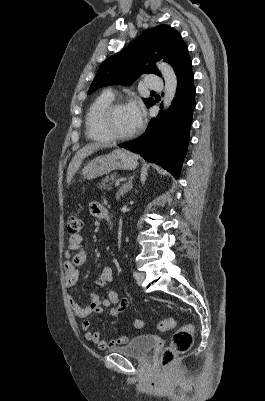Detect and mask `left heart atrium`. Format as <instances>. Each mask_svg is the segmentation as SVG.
I'll return each mask as SVG.
<instances>
[{
	"label": "left heart atrium",
	"mask_w": 265,
	"mask_h": 401,
	"mask_svg": "<svg viewBox=\"0 0 265 401\" xmlns=\"http://www.w3.org/2000/svg\"><path fill=\"white\" fill-rule=\"evenodd\" d=\"M128 111L132 117L135 128L138 127L144 115V110L141 102L139 100H134L127 105Z\"/></svg>",
	"instance_id": "39dd6f15"
}]
</instances>
